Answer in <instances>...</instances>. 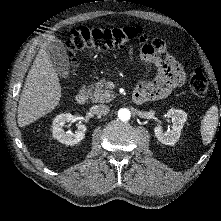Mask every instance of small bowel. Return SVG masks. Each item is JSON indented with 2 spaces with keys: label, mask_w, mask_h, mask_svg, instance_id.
Segmentation results:
<instances>
[{
  "label": "small bowel",
  "mask_w": 221,
  "mask_h": 221,
  "mask_svg": "<svg viewBox=\"0 0 221 221\" xmlns=\"http://www.w3.org/2000/svg\"><path fill=\"white\" fill-rule=\"evenodd\" d=\"M140 42L138 59L151 64L156 70V76L152 80L139 82L135 91L143 93L148 100L166 98L174 89L184 84L185 72L168 54L167 43L163 39L143 34ZM130 56L134 59L132 54Z\"/></svg>",
  "instance_id": "obj_1"
}]
</instances>
